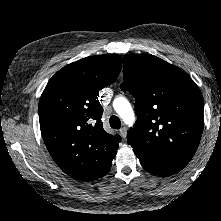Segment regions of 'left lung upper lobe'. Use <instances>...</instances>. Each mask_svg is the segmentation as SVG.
Segmentation results:
<instances>
[{
    "label": "left lung upper lobe",
    "instance_id": "5c2ea615",
    "mask_svg": "<svg viewBox=\"0 0 221 221\" xmlns=\"http://www.w3.org/2000/svg\"><path fill=\"white\" fill-rule=\"evenodd\" d=\"M121 89L136 99L138 117L127 132L134 152L182 165L194 156L204 126L203 98L182 69L150 55H124Z\"/></svg>",
    "mask_w": 221,
    "mask_h": 221
}]
</instances>
